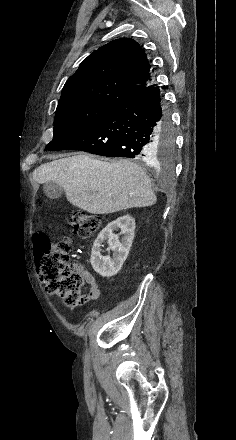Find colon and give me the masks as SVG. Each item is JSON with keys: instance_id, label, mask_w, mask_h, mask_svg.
<instances>
[{"instance_id": "1", "label": "colon", "mask_w": 236, "mask_h": 440, "mask_svg": "<svg viewBox=\"0 0 236 440\" xmlns=\"http://www.w3.org/2000/svg\"><path fill=\"white\" fill-rule=\"evenodd\" d=\"M72 233L87 237L100 225L96 215L82 210H72L68 214ZM36 248L37 270L48 293L58 296L66 308L74 309L82 305L86 298L81 293L85 278L78 267L70 262L72 244L69 239L54 244L43 233L33 236Z\"/></svg>"}]
</instances>
